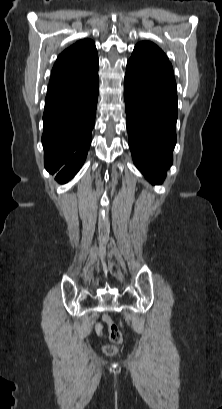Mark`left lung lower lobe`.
<instances>
[{
	"mask_svg": "<svg viewBox=\"0 0 222 409\" xmlns=\"http://www.w3.org/2000/svg\"><path fill=\"white\" fill-rule=\"evenodd\" d=\"M124 87L133 161L150 182L160 184L176 144L177 93L129 73Z\"/></svg>",
	"mask_w": 222,
	"mask_h": 409,
	"instance_id": "0a47b994",
	"label": "left lung lower lobe"
}]
</instances>
